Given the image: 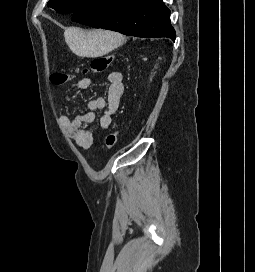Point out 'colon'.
Segmentation results:
<instances>
[{
    "label": "colon",
    "instance_id": "5ec220e1",
    "mask_svg": "<svg viewBox=\"0 0 255 272\" xmlns=\"http://www.w3.org/2000/svg\"><path fill=\"white\" fill-rule=\"evenodd\" d=\"M112 60L113 57L111 55H102L94 57L90 63L89 68H85L82 73L85 75L88 73H101L110 66ZM73 78H74L73 75L63 72H55L51 75L52 82L57 85L67 84L70 81H72ZM118 136H119L118 130H113L106 136L105 147L107 150H112L116 146Z\"/></svg>",
    "mask_w": 255,
    "mask_h": 272
}]
</instances>
